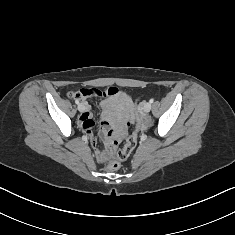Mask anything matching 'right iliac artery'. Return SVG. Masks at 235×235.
I'll return each mask as SVG.
<instances>
[{
    "label": "right iliac artery",
    "instance_id": "1",
    "mask_svg": "<svg viewBox=\"0 0 235 235\" xmlns=\"http://www.w3.org/2000/svg\"><path fill=\"white\" fill-rule=\"evenodd\" d=\"M75 103H76V104H79V100H76Z\"/></svg>",
    "mask_w": 235,
    "mask_h": 235
}]
</instances>
